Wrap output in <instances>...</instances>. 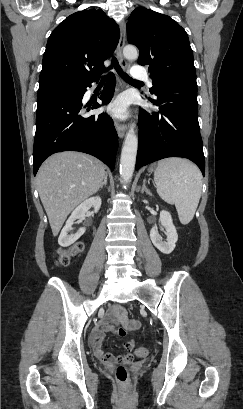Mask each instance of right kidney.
Returning <instances> with one entry per match:
<instances>
[{"mask_svg": "<svg viewBox=\"0 0 243 409\" xmlns=\"http://www.w3.org/2000/svg\"><path fill=\"white\" fill-rule=\"evenodd\" d=\"M101 203H102L101 198L97 196L85 200L77 208H75L71 216L68 218L58 238V243L60 246L62 247L70 246L85 233L86 228L82 227L75 234L70 235L68 234L72 230L74 221L83 218L90 208H94L95 212H98Z\"/></svg>", "mask_w": 243, "mask_h": 409, "instance_id": "ca27d5eb", "label": "right kidney"}]
</instances>
